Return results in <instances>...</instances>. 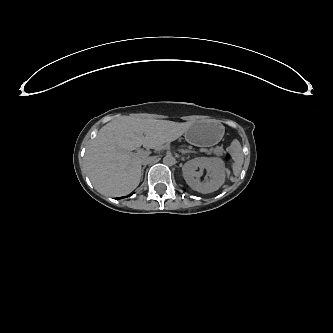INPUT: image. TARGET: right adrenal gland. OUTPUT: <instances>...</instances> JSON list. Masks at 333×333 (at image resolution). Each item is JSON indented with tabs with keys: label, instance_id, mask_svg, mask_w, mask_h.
I'll use <instances>...</instances> for the list:
<instances>
[{
	"label": "right adrenal gland",
	"instance_id": "right-adrenal-gland-1",
	"mask_svg": "<svg viewBox=\"0 0 333 333\" xmlns=\"http://www.w3.org/2000/svg\"><path fill=\"white\" fill-rule=\"evenodd\" d=\"M146 168V165L145 166H143V168H142V170H141V175H142V177H143V174H144V169Z\"/></svg>",
	"mask_w": 333,
	"mask_h": 333
}]
</instances>
